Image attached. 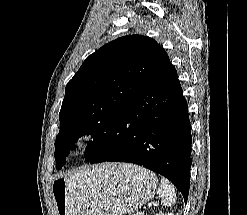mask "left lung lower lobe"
Returning a JSON list of instances; mask_svg holds the SVG:
<instances>
[{"label": "left lung lower lobe", "instance_id": "0a47b994", "mask_svg": "<svg viewBox=\"0 0 247 215\" xmlns=\"http://www.w3.org/2000/svg\"><path fill=\"white\" fill-rule=\"evenodd\" d=\"M87 163L130 162L168 178L187 202L190 187L191 130L177 71L169 57L140 88L103 147Z\"/></svg>", "mask_w": 247, "mask_h": 215}]
</instances>
